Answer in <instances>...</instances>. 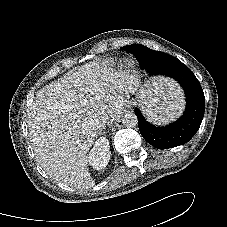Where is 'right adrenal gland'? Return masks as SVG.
Segmentation results:
<instances>
[{
  "label": "right adrenal gland",
  "mask_w": 227,
  "mask_h": 227,
  "mask_svg": "<svg viewBox=\"0 0 227 227\" xmlns=\"http://www.w3.org/2000/svg\"><path fill=\"white\" fill-rule=\"evenodd\" d=\"M105 127H103L102 129H104ZM102 129H100V131L98 132L99 135H103L105 132H102Z\"/></svg>",
  "instance_id": "2a0ac1e0"
}]
</instances>
